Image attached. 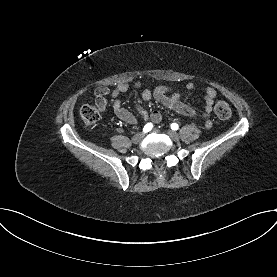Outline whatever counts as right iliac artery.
<instances>
[{
	"label": "right iliac artery",
	"mask_w": 277,
	"mask_h": 277,
	"mask_svg": "<svg viewBox=\"0 0 277 277\" xmlns=\"http://www.w3.org/2000/svg\"><path fill=\"white\" fill-rule=\"evenodd\" d=\"M152 128H153L152 123H148V124H146V125L144 126L143 131H144L145 133H147V132H149Z\"/></svg>",
	"instance_id": "obj_1"
}]
</instances>
